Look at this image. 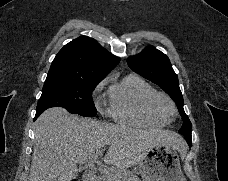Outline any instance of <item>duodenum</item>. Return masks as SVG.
<instances>
[{"mask_svg":"<svg viewBox=\"0 0 228 181\" xmlns=\"http://www.w3.org/2000/svg\"><path fill=\"white\" fill-rule=\"evenodd\" d=\"M81 179L84 181H97L95 172H86V174H81Z\"/></svg>","mask_w":228,"mask_h":181,"instance_id":"1","label":"duodenum"}]
</instances>
